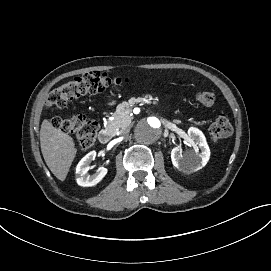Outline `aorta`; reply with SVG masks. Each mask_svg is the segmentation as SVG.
<instances>
[{"label": "aorta", "instance_id": "762f6f07", "mask_svg": "<svg viewBox=\"0 0 271 271\" xmlns=\"http://www.w3.org/2000/svg\"><path fill=\"white\" fill-rule=\"evenodd\" d=\"M162 134V125L158 118L148 117L140 120L134 130V137L141 144H152Z\"/></svg>", "mask_w": 271, "mask_h": 271}]
</instances>
